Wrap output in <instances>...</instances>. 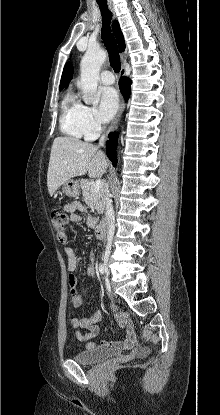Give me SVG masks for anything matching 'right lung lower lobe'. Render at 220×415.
Returning <instances> with one entry per match:
<instances>
[{
  "label": "right lung lower lobe",
  "mask_w": 220,
  "mask_h": 415,
  "mask_svg": "<svg viewBox=\"0 0 220 415\" xmlns=\"http://www.w3.org/2000/svg\"><path fill=\"white\" fill-rule=\"evenodd\" d=\"M119 87L121 93L127 100L131 91V80L127 77H121L119 81ZM108 137L109 140L107 141L106 153L109 159L112 161L113 166H116L117 133H110Z\"/></svg>",
  "instance_id": "right-lung-lower-lobe-1"
}]
</instances>
